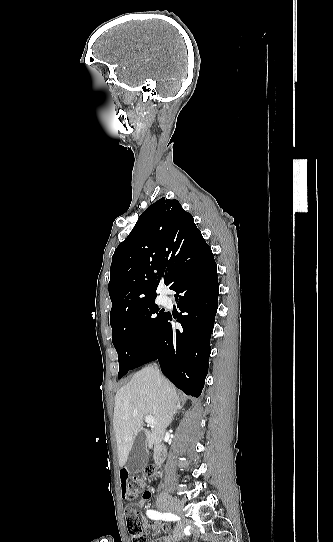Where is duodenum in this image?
I'll return each mask as SVG.
<instances>
[{"instance_id":"duodenum-1","label":"duodenum","mask_w":333,"mask_h":542,"mask_svg":"<svg viewBox=\"0 0 333 542\" xmlns=\"http://www.w3.org/2000/svg\"><path fill=\"white\" fill-rule=\"evenodd\" d=\"M166 458V448L164 445L158 443L154 447L153 460L156 465H160Z\"/></svg>"}]
</instances>
